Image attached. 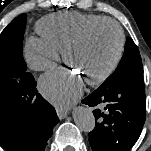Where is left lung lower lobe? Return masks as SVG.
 Masks as SVG:
<instances>
[{"mask_svg": "<svg viewBox=\"0 0 151 151\" xmlns=\"http://www.w3.org/2000/svg\"><path fill=\"white\" fill-rule=\"evenodd\" d=\"M82 103L95 109L98 120L89 133L93 151H126L138 140L146 118L143 73H134L113 87L94 91Z\"/></svg>", "mask_w": 151, "mask_h": 151, "instance_id": "0a47b994", "label": "left lung lower lobe"}]
</instances>
